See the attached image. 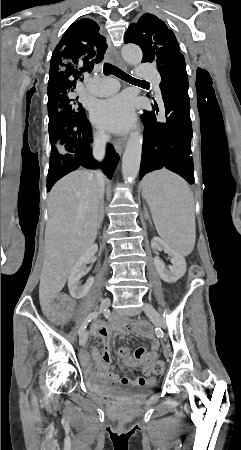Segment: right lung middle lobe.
I'll list each match as a JSON object with an SVG mask.
<instances>
[{"label":"right lung middle lobe","mask_w":241,"mask_h":450,"mask_svg":"<svg viewBox=\"0 0 241 450\" xmlns=\"http://www.w3.org/2000/svg\"><path fill=\"white\" fill-rule=\"evenodd\" d=\"M49 139L51 157L74 153V148L66 135L61 132V126L79 122L86 118L85 110L78 97L68 94L48 100Z\"/></svg>","instance_id":"right-lung-middle-lobe-1"}]
</instances>
